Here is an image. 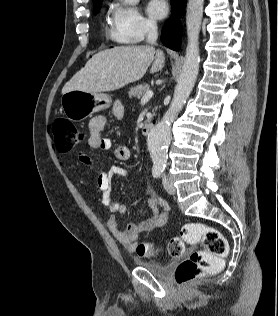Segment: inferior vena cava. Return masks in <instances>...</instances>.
I'll use <instances>...</instances> for the list:
<instances>
[{"instance_id":"1","label":"inferior vena cava","mask_w":278,"mask_h":316,"mask_svg":"<svg viewBox=\"0 0 278 316\" xmlns=\"http://www.w3.org/2000/svg\"><path fill=\"white\" fill-rule=\"evenodd\" d=\"M145 32L147 34V42L154 44L158 38L157 26L154 22H148L145 26Z\"/></svg>"}]
</instances>
